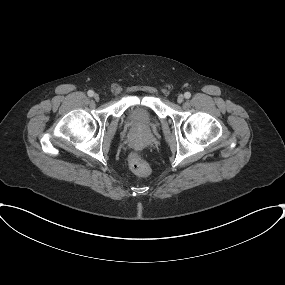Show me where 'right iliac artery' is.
I'll return each mask as SVG.
<instances>
[{"label": "right iliac artery", "mask_w": 285, "mask_h": 285, "mask_svg": "<svg viewBox=\"0 0 285 285\" xmlns=\"http://www.w3.org/2000/svg\"><path fill=\"white\" fill-rule=\"evenodd\" d=\"M87 94H88L89 97H92V96L94 95V92H93L92 90H89V91L87 92Z\"/></svg>", "instance_id": "82829eb1"}]
</instances>
